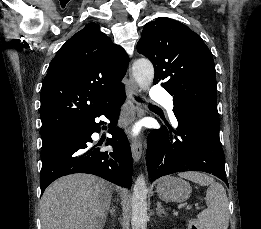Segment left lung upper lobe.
Listing matches in <instances>:
<instances>
[{"label": "left lung upper lobe", "instance_id": "5c2ea615", "mask_svg": "<svg viewBox=\"0 0 261 229\" xmlns=\"http://www.w3.org/2000/svg\"><path fill=\"white\" fill-rule=\"evenodd\" d=\"M138 52L153 64L155 78L173 96L174 114L199 107L218 115L216 75L210 50L184 24L160 17L148 22L137 43Z\"/></svg>", "mask_w": 261, "mask_h": 229}]
</instances>
